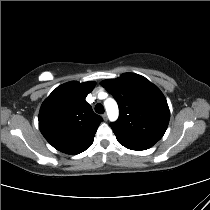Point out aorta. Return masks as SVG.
Wrapping results in <instances>:
<instances>
[{
    "label": "aorta",
    "instance_id": "aorta-1",
    "mask_svg": "<svg viewBox=\"0 0 210 210\" xmlns=\"http://www.w3.org/2000/svg\"><path fill=\"white\" fill-rule=\"evenodd\" d=\"M104 106L106 108L109 120L116 121L119 115L117 102L112 98H108L105 100Z\"/></svg>",
    "mask_w": 210,
    "mask_h": 210
}]
</instances>
